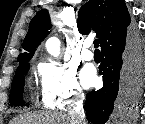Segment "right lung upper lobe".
I'll list each match as a JSON object with an SVG mask.
<instances>
[{
	"label": "right lung upper lobe",
	"mask_w": 145,
	"mask_h": 124,
	"mask_svg": "<svg viewBox=\"0 0 145 124\" xmlns=\"http://www.w3.org/2000/svg\"><path fill=\"white\" fill-rule=\"evenodd\" d=\"M130 22L124 0H90L79 10L77 27L81 34H87L91 30L96 31L101 46L109 38L125 30ZM49 29L48 11L41 10L31 20L28 33L22 43L25 52L18 56L20 66L29 62Z\"/></svg>",
	"instance_id": "cb5924a9"
}]
</instances>
